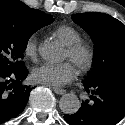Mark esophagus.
I'll use <instances>...</instances> for the list:
<instances>
[{"label": "esophagus", "mask_w": 125, "mask_h": 125, "mask_svg": "<svg viewBox=\"0 0 125 125\" xmlns=\"http://www.w3.org/2000/svg\"><path fill=\"white\" fill-rule=\"evenodd\" d=\"M54 92L58 95H64L66 93V91L64 89H61V88H53Z\"/></svg>", "instance_id": "esophagus-1"}]
</instances>
